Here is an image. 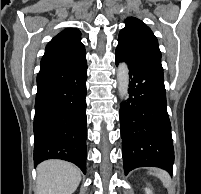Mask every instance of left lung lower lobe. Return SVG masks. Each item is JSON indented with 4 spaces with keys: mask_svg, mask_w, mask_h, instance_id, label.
I'll return each mask as SVG.
<instances>
[{
    "mask_svg": "<svg viewBox=\"0 0 201 194\" xmlns=\"http://www.w3.org/2000/svg\"><path fill=\"white\" fill-rule=\"evenodd\" d=\"M116 65L129 67V98L120 109V129L125 175L153 166L173 170L174 150L161 61L117 46Z\"/></svg>",
    "mask_w": 201,
    "mask_h": 194,
    "instance_id": "0a47b994",
    "label": "left lung lower lobe"
}]
</instances>
